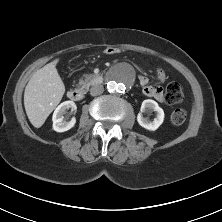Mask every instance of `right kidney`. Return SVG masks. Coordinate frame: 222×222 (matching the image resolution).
<instances>
[{"instance_id": "1", "label": "right kidney", "mask_w": 222, "mask_h": 222, "mask_svg": "<svg viewBox=\"0 0 222 222\" xmlns=\"http://www.w3.org/2000/svg\"><path fill=\"white\" fill-rule=\"evenodd\" d=\"M69 109H71V112L77 109L73 101H65L55 109L52 121H53V129L56 132H64L74 127L76 119L73 117L71 118L70 121H67V119L64 117L67 110Z\"/></svg>"}]
</instances>
